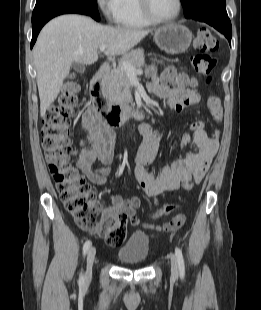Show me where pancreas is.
<instances>
[{"label":"pancreas","instance_id":"pancreas-1","mask_svg":"<svg viewBox=\"0 0 261 310\" xmlns=\"http://www.w3.org/2000/svg\"><path fill=\"white\" fill-rule=\"evenodd\" d=\"M122 62H127L135 68H141L144 65L143 50H135L124 55L117 67H114L107 76V87L111 100L114 103L127 104L132 101L130 91L129 76L121 66Z\"/></svg>","mask_w":261,"mask_h":310}]
</instances>
